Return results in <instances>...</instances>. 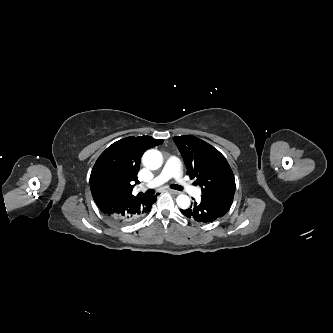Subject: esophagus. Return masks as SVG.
I'll return each mask as SVG.
<instances>
[{"instance_id": "34e87169", "label": "esophagus", "mask_w": 333, "mask_h": 333, "mask_svg": "<svg viewBox=\"0 0 333 333\" xmlns=\"http://www.w3.org/2000/svg\"><path fill=\"white\" fill-rule=\"evenodd\" d=\"M170 194H174V195H178L180 194V192L176 191V190H172V189H168L167 190Z\"/></svg>"}]
</instances>
